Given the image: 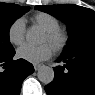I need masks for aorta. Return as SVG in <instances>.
<instances>
[{
    "mask_svg": "<svg viewBox=\"0 0 95 95\" xmlns=\"http://www.w3.org/2000/svg\"><path fill=\"white\" fill-rule=\"evenodd\" d=\"M39 35L33 28L29 29L26 33V39L29 42H34L38 39ZM37 77L40 82L44 84H50L54 79V70L49 66H41L38 69Z\"/></svg>",
    "mask_w": 95,
    "mask_h": 95,
    "instance_id": "762f6f07",
    "label": "aorta"
}]
</instances>
